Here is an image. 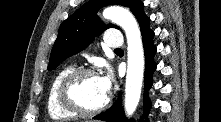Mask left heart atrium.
<instances>
[{"label": "left heart atrium", "mask_w": 221, "mask_h": 122, "mask_svg": "<svg viewBox=\"0 0 221 122\" xmlns=\"http://www.w3.org/2000/svg\"><path fill=\"white\" fill-rule=\"evenodd\" d=\"M99 79L103 90L108 93L112 84V77L110 73L104 74L103 76L99 77Z\"/></svg>", "instance_id": "obj_1"}]
</instances>
